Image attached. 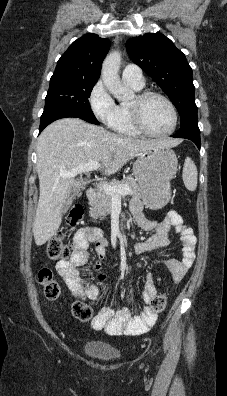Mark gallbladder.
<instances>
[{
    "label": "gallbladder",
    "mask_w": 227,
    "mask_h": 396,
    "mask_svg": "<svg viewBox=\"0 0 227 396\" xmlns=\"http://www.w3.org/2000/svg\"><path fill=\"white\" fill-rule=\"evenodd\" d=\"M78 195V191L77 192H74V193H72V194H70L69 196H68V198H67V200H66V202H65V204H64V206H63V208H62V212L63 213H65V212H67L68 211V209L71 207V205H72V202H73V199L75 198V196H77Z\"/></svg>",
    "instance_id": "obj_1"
}]
</instances>
